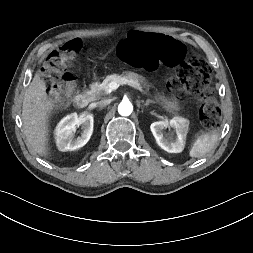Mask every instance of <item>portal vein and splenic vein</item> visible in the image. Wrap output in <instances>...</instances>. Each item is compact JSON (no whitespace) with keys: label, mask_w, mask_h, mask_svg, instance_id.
Masks as SVG:
<instances>
[{"label":"portal vein and splenic vein","mask_w":253,"mask_h":253,"mask_svg":"<svg viewBox=\"0 0 253 253\" xmlns=\"http://www.w3.org/2000/svg\"><path fill=\"white\" fill-rule=\"evenodd\" d=\"M123 84H128L138 90H141V87L139 86V84L131 81V80H121L120 82H111L109 84V89L110 91H114L116 90L120 85H123Z\"/></svg>","instance_id":"1"}]
</instances>
